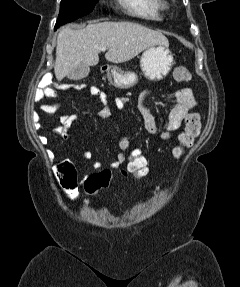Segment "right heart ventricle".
<instances>
[{"instance_id": "1", "label": "right heart ventricle", "mask_w": 240, "mask_h": 287, "mask_svg": "<svg viewBox=\"0 0 240 287\" xmlns=\"http://www.w3.org/2000/svg\"><path fill=\"white\" fill-rule=\"evenodd\" d=\"M118 5L129 15L147 20L162 17V0H117Z\"/></svg>"}]
</instances>
